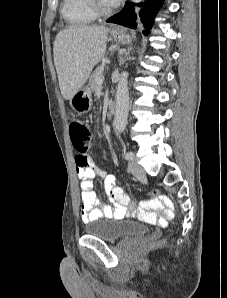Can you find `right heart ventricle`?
Masks as SVG:
<instances>
[{
	"instance_id": "e07e8e85",
	"label": "right heart ventricle",
	"mask_w": 227,
	"mask_h": 298,
	"mask_svg": "<svg viewBox=\"0 0 227 298\" xmlns=\"http://www.w3.org/2000/svg\"><path fill=\"white\" fill-rule=\"evenodd\" d=\"M61 14L73 26L89 25L97 16L91 8L90 0H63Z\"/></svg>"
}]
</instances>
